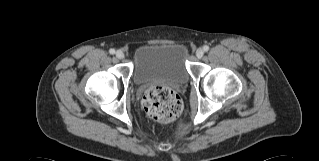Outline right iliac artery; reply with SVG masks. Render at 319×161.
Listing matches in <instances>:
<instances>
[{
  "label": "right iliac artery",
  "instance_id": "82829eb1",
  "mask_svg": "<svg viewBox=\"0 0 319 161\" xmlns=\"http://www.w3.org/2000/svg\"><path fill=\"white\" fill-rule=\"evenodd\" d=\"M109 53H110V54H114V53H115V50H114V49H110V50H109Z\"/></svg>",
  "mask_w": 319,
  "mask_h": 161
}]
</instances>
